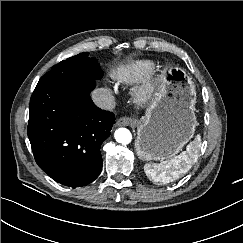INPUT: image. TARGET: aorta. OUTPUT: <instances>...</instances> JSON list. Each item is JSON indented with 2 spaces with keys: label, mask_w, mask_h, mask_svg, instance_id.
I'll return each instance as SVG.
<instances>
[{
  "label": "aorta",
  "mask_w": 243,
  "mask_h": 243,
  "mask_svg": "<svg viewBox=\"0 0 243 243\" xmlns=\"http://www.w3.org/2000/svg\"><path fill=\"white\" fill-rule=\"evenodd\" d=\"M114 137L118 143L127 145L132 140L131 132L126 128H119L115 131Z\"/></svg>",
  "instance_id": "1"
}]
</instances>
